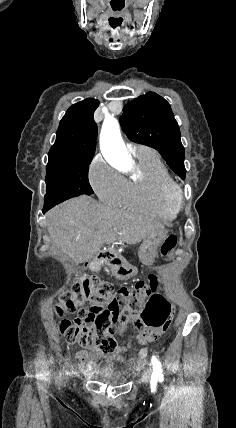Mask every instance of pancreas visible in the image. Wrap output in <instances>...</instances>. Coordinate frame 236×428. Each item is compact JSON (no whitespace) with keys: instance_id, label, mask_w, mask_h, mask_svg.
I'll return each instance as SVG.
<instances>
[{"instance_id":"obj_1","label":"pancreas","mask_w":236,"mask_h":428,"mask_svg":"<svg viewBox=\"0 0 236 428\" xmlns=\"http://www.w3.org/2000/svg\"><path fill=\"white\" fill-rule=\"evenodd\" d=\"M94 270H96V272H99V270H101V264H100V262H95V264H94Z\"/></svg>"}]
</instances>
